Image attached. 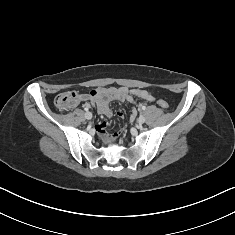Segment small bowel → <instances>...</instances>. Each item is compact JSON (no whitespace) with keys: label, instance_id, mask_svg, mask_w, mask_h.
Instances as JSON below:
<instances>
[{"label":"small bowel","instance_id":"c3829d8e","mask_svg":"<svg viewBox=\"0 0 235 235\" xmlns=\"http://www.w3.org/2000/svg\"><path fill=\"white\" fill-rule=\"evenodd\" d=\"M136 98L147 102H153L155 100L152 93L144 89H129L126 87H101L90 91L88 94H83L81 96V102L96 105L99 113L110 118L112 116L110 102L119 101L134 103ZM136 114V109H132L130 113L131 117H135ZM118 115L122 117L123 113L118 112ZM106 126V122H100L94 126V129L99 133H103Z\"/></svg>","mask_w":235,"mask_h":235}]
</instances>
